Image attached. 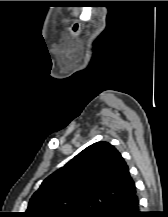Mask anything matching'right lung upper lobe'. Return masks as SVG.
<instances>
[{
  "label": "right lung upper lobe",
  "mask_w": 168,
  "mask_h": 217,
  "mask_svg": "<svg viewBox=\"0 0 168 217\" xmlns=\"http://www.w3.org/2000/svg\"><path fill=\"white\" fill-rule=\"evenodd\" d=\"M136 192L121 154L97 142L47 177L30 199L24 217H97Z\"/></svg>",
  "instance_id": "1"
}]
</instances>
